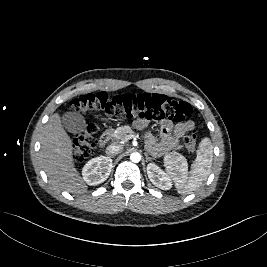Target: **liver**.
<instances>
[{
  "instance_id": "1",
  "label": "liver",
  "mask_w": 267,
  "mask_h": 267,
  "mask_svg": "<svg viewBox=\"0 0 267 267\" xmlns=\"http://www.w3.org/2000/svg\"><path fill=\"white\" fill-rule=\"evenodd\" d=\"M72 140L58 113L50 116L41 137L40 162L50 183L68 193H83L87 185L74 165Z\"/></svg>"
}]
</instances>
